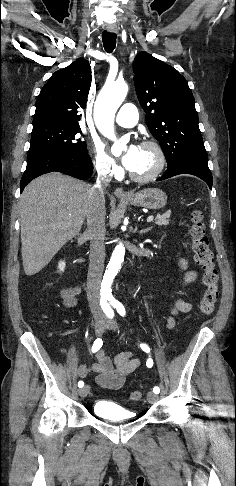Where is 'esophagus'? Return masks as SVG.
I'll return each instance as SVG.
<instances>
[{"mask_svg": "<svg viewBox=\"0 0 236 486\" xmlns=\"http://www.w3.org/2000/svg\"><path fill=\"white\" fill-rule=\"evenodd\" d=\"M107 30L112 33H118V29L115 27H108ZM114 194L119 198L129 197V193L125 192L121 187H117Z\"/></svg>", "mask_w": 236, "mask_h": 486, "instance_id": "obj_1", "label": "esophagus"}]
</instances>
